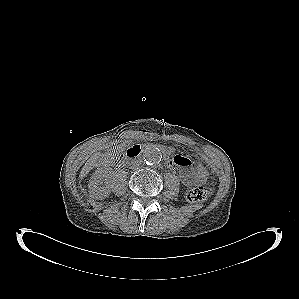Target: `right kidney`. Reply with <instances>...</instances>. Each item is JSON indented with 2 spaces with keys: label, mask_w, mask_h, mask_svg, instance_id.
<instances>
[{
  "label": "right kidney",
  "mask_w": 299,
  "mask_h": 299,
  "mask_svg": "<svg viewBox=\"0 0 299 299\" xmlns=\"http://www.w3.org/2000/svg\"><path fill=\"white\" fill-rule=\"evenodd\" d=\"M108 175V169H99L93 174L88 185L90 196L96 199H104L110 194L111 187Z\"/></svg>",
  "instance_id": "right-kidney-1"
}]
</instances>
